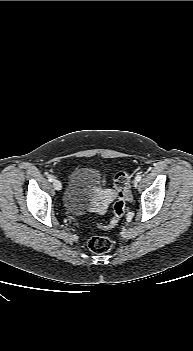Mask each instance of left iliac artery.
<instances>
[{"instance_id": "obj_1", "label": "left iliac artery", "mask_w": 193, "mask_h": 351, "mask_svg": "<svg viewBox=\"0 0 193 351\" xmlns=\"http://www.w3.org/2000/svg\"><path fill=\"white\" fill-rule=\"evenodd\" d=\"M141 179H142V175H137V176L135 177V180H136L137 182H139Z\"/></svg>"}]
</instances>
